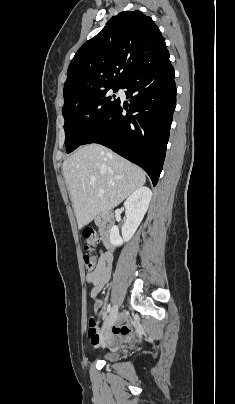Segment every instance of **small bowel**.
<instances>
[{
    "instance_id": "obj_1",
    "label": "small bowel",
    "mask_w": 235,
    "mask_h": 404,
    "mask_svg": "<svg viewBox=\"0 0 235 404\" xmlns=\"http://www.w3.org/2000/svg\"><path fill=\"white\" fill-rule=\"evenodd\" d=\"M113 263V254L109 250H101L99 260L95 268L87 273L86 281L91 284L90 296L95 299L94 308L100 311L104 319V324L101 330L89 328L88 337L92 346H99L102 341L110 348H116L123 343L131 334V320L128 313L123 312L119 317V322L109 326L107 319V308L103 307V302L98 299L99 293L108 283L111 275V267Z\"/></svg>"
}]
</instances>
